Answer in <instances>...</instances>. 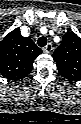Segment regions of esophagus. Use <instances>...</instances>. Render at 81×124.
Instances as JSON below:
<instances>
[{"label": "esophagus", "instance_id": "34e87169", "mask_svg": "<svg viewBox=\"0 0 81 124\" xmlns=\"http://www.w3.org/2000/svg\"><path fill=\"white\" fill-rule=\"evenodd\" d=\"M53 50V46L51 43H48L44 48H43V51L46 52V53H50L52 52Z\"/></svg>", "mask_w": 81, "mask_h": 124}]
</instances>
